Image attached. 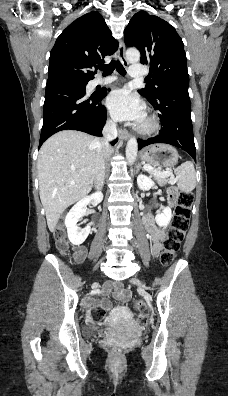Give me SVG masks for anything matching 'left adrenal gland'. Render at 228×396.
<instances>
[{
    "label": "left adrenal gland",
    "instance_id": "1",
    "mask_svg": "<svg viewBox=\"0 0 228 396\" xmlns=\"http://www.w3.org/2000/svg\"><path fill=\"white\" fill-rule=\"evenodd\" d=\"M140 169L144 170V169L142 168V166H141L140 164H138L137 170H140Z\"/></svg>",
    "mask_w": 228,
    "mask_h": 396
}]
</instances>
